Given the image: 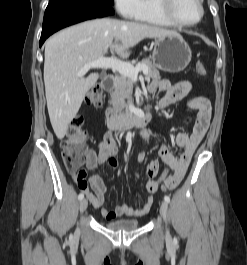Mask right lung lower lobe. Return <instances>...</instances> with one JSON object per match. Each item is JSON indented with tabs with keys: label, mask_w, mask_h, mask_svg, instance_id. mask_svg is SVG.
Segmentation results:
<instances>
[{
	"label": "right lung lower lobe",
	"mask_w": 247,
	"mask_h": 265,
	"mask_svg": "<svg viewBox=\"0 0 247 265\" xmlns=\"http://www.w3.org/2000/svg\"><path fill=\"white\" fill-rule=\"evenodd\" d=\"M114 14L109 4L90 0H60L51 2L43 20L40 46L54 32L88 19Z\"/></svg>",
	"instance_id": "obj_1"
}]
</instances>
